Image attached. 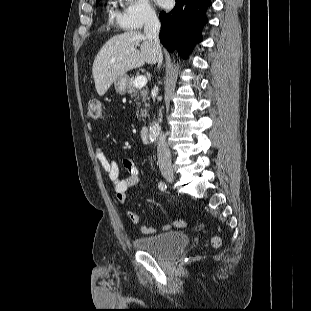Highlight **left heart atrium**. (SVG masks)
<instances>
[{"label": "left heart atrium", "mask_w": 311, "mask_h": 311, "mask_svg": "<svg viewBox=\"0 0 311 311\" xmlns=\"http://www.w3.org/2000/svg\"><path fill=\"white\" fill-rule=\"evenodd\" d=\"M158 5L165 6L168 3V0H154Z\"/></svg>", "instance_id": "obj_1"}]
</instances>
